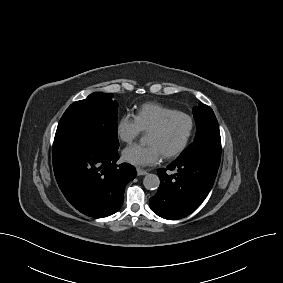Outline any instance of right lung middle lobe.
<instances>
[{"label":"right lung middle lobe","instance_id":"dd1d6c3e","mask_svg":"<svg viewBox=\"0 0 283 283\" xmlns=\"http://www.w3.org/2000/svg\"><path fill=\"white\" fill-rule=\"evenodd\" d=\"M112 97V94L92 93L72 103L58 123L55 140L82 137L110 149L118 148V103Z\"/></svg>","mask_w":283,"mask_h":283}]
</instances>
